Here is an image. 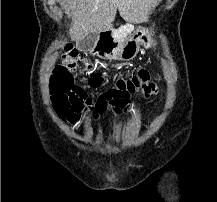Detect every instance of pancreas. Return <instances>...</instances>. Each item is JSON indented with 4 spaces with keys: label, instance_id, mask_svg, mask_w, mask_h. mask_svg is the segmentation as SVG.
Segmentation results:
<instances>
[{
    "label": "pancreas",
    "instance_id": "obj_1",
    "mask_svg": "<svg viewBox=\"0 0 217 202\" xmlns=\"http://www.w3.org/2000/svg\"><path fill=\"white\" fill-rule=\"evenodd\" d=\"M117 29H119V30H117V33L128 34L133 29V25H131V23H125L124 25H121Z\"/></svg>",
    "mask_w": 217,
    "mask_h": 202
}]
</instances>
